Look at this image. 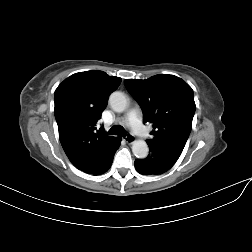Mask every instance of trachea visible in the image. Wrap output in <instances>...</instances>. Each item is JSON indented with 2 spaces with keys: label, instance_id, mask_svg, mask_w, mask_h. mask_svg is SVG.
<instances>
[{
  "label": "trachea",
  "instance_id": "1",
  "mask_svg": "<svg viewBox=\"0 0 252 252\" xmlns=\"http://www.w3.org/2000/svg\"><path fill=\"white\" fill-rule=\"evenodd\" d=\"M108 135L126 136V131L122 126H112L108 131Z\"/></svg>",
  "mask_w": 252,
  "mask_h": 252
}]
</instances>
